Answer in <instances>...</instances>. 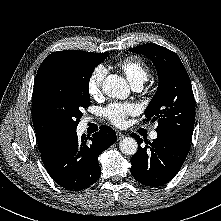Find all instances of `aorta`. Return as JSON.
Masks as SVG:
<instances>
[{
  "label": "aorta",
  "mask_w": 221,
  "mask_h": 221,
  "mask_svg": "<svg viewBox=\"0 0 221 221\" xmlns=\"http://www.w3.org/2000/svg\"><path fill=\"white\" fill-rule=\"evenodd\" d=\"M103 92L112 98L126 99L129 96L130 88L126 80L116 74L107 76L102 83ZM123 154L134 155L137 152V141L132 137H125L119 143Z\"/></svg>",
  "instance_id": "762f6f07"
}]
</instances>
